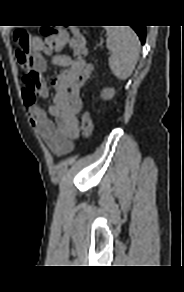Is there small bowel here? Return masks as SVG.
<instances>
[{"label":"small bowel","mask_w":184,"mask_h":292,"mask_svg":"<svg viewBox=\"0 0 184 292\" xmlns=\"http://www.w3.org/2000/svg\"><path fill=\"white\" fill-rule=\"evenodd\" d=\"M42 52L43 42L38 37H30L25 52L17 51V61L24 72L22 97L31 125L54 153L63 155L73 150V142L78 137V114L82 109L80 90L93 66L66 54L50 56V61L63 70L51 79L55 95L45 109L37 104V98L50 97L43 77L47 61Z\"/></svg>","instance_id":"1"}]
</instances>
